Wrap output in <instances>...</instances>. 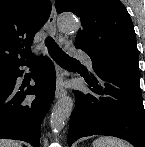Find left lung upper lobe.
<instances>
[{
    "instance_id": "left-lung-upper-lobe-1",
    "label": "left lung upper lobe",
    "mask_w": 145,
    "mask_h": 147,
    "mask_svg": "<svg viewBox=\"0 0 145 147\" xmlns=\"http://www.w3.org/2000/svg\"><path fill=\"white\" fill-rule=\"evenodd\" d=\"M55 6L58 13L69 11L80 18L74 44L92 61L139 62L134 26L119 0H56Z\"/></svg>"
}]
</instances>
